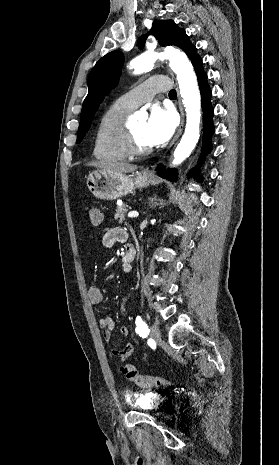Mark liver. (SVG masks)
Segmentation results:
<instances>
[{"label": "liver", "instance_id": "obj_1", "mask_svg": "<svg viewBox=\"0 0 279 465\" xmlns=\"http://www.w3.org/2000/svg\"><path fill=\"white\" fill-rule=\"evenodd\" d=\"M88 166L100 167L101 170L113 173H126L133 172L137 169L136 165H131L128 163H109L104 164L100 162H91L87 164Z\"/></svg>", "mask_w": 279, "mask_h": 465}]
</instances>
